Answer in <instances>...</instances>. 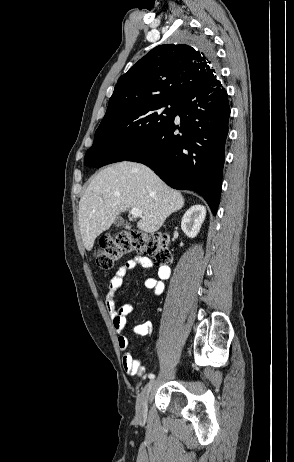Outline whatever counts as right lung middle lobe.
I'll return each instance as SVG.
<instances>
[{
	"instance_id": "1",
	"label": "right lung middle lobe",
	"mask_w": 294,
	"mask_h": 462,
	"mask_svg": "<svg viewBox=\"0 0 294 462\" xmlns=\"http://www.w3.org/2000/svg\"><path fill=\"white\" fill-rule=\"evenodd\" d=\"M176 38L196 48L213 51L212 44L201 33L182 30ZM181 100L180 96H161L104 116L95 133L94 144L86 152L85 158L102 154L105 165L125 160L132 151L174 119Z\"/></svg>"
}]
</instances>
